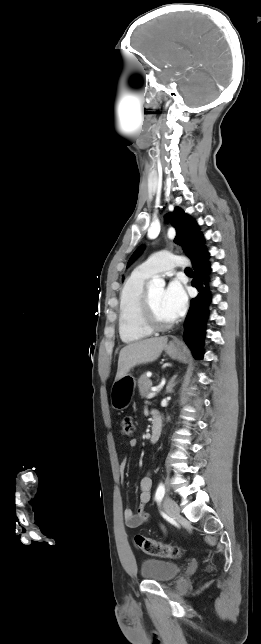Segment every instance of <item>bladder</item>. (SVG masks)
I'll return each instance as SVG.
<instances>
[{"label":"bladder","mask_w":261,"mask_h":644,"mask_svg":"<svg viewBox=\"0 0 261 644\" xmlns=\"http://www.w3.org/2000/svg\"><path fill=\"white\" fill-rule=\"evenodd\" d=\"M181 567L174 563L158 559H146L140 567L141 576L146 580L167 582L174 579Z\"/></svg>","instance_id":"bladder-1"}]
</instances>
